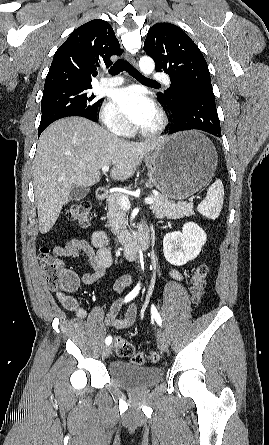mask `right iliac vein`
Segmentation results:
<instances>
[{
  "instance_id": "right-iliac-vein-1",
  "label": "right iliac vein",
  "mask_w": 269,
  "mask_h": 445,
  "mask_svg": "<svg viewBox=\"0 0 269 445\" xmlns=\"http://www.w3.org/2000/svg\"><path fill=\"white\" fill-rule=\"evenodd\" d=\"M112 351V345H107L106 347H104L103 351H102V357L103 358H107Z\"/></svg>"
}]
</instances>
